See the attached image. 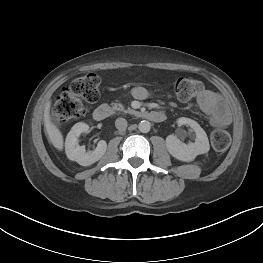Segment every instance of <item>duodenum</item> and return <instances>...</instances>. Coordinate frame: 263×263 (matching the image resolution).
I'll list each match as a JSON object with an SVG mask.
<instances>
[{
  "label": "duodenum",
  "instance_id": "obj_1",
  "mask_svg": "<svg viewBox=\"0 0 263 263\" xmlns=\"http://www.w3.org/2000/svg\"><path fill=\"white\" fill-rule=\"evenodd\" d=\"M110 114V108L106 105H101L93 111V118L96 121L105 120ZM144 117L152 122H162L166 115L160 111H150L145 113Z\"/></svg>",
  "mask_w": 263,
  "mask_h": 263
}]
</instances>
